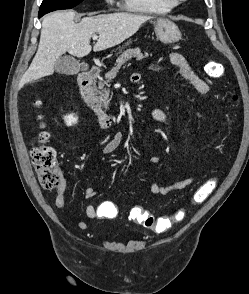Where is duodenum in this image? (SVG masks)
I'll return each instance as SVG.
<instances>
[{"instance_id":"duodenum-1","label":"duodenum","mask_w":249,"mask_h":294,"mask_svg":"<svg viewBox=\"0 0 249 294\" xmlns=\"http://www.w3.org/2000/svg\"><path fill=\"white\" fill-rule=\"evenodd\" d=\"M99 72L100 67L94 66L83 71L79 75V93L86 107L97 117L100 122H102L106 129H109L114 126L115 118L104 112L101 106V102L99 101L94 89L93 82Z\"/></svg>"}]
</instances>
